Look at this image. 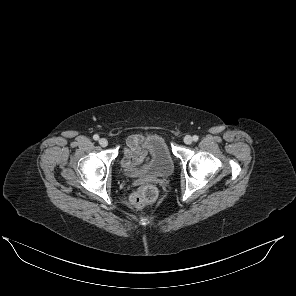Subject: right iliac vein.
I'll list each match as a JSON object with an SVG mask.
<instances>
[{
    "mask_svg": "<svg viewBox=\"0 0 296 296\" xmlns=\"http://www.w3.org/2000/svg\"><path fill=\"white\" fill-rule=\"evenodd\" d=\"M99 144L102 146V147H106L108 145V140L106 138H101L99 140Z\"/></svg>",
    "mask_w": 296,
    "mask_h": 296,
    "instance_id": "63e3f726",
    "label": "right iliac vein"
}]
</instances>
